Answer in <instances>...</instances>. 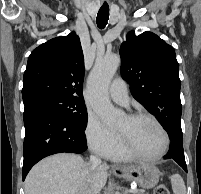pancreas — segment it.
Returning <instances> with one entry per match:
<instances>
[{
	"mask_svg": "<svg viewBox=\"0 0 201 194\" xmlns=\"http://www.w3.org/2000/svg\"><path fill=\"white\" fill-rule=\"evenodd\" d=\"M131 194H144V193L142 191L135 190V191L131 192Z\"/></svg>",
	"mask_w": 201,
	"mask_h": 194,
	"instance_id": "1",
	"label": "pancreas"
}]
</instances>
